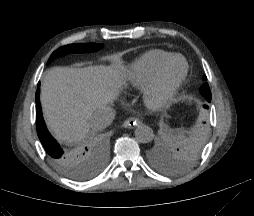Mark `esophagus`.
I'll return each instance as SVG.
<instances>
[{
  "instance_id": "1",
  "label": "esophagus",
  "mask_w": 254,
  "mask_h": 216,
  "mask_svg": "<svg viewBox=\"0 0 254 216\" xmlns=\"http://www.w3.org/2000/svg\"><path fill=\"white\" fill-rule=\"evenodd\" d=\"M139 124H140V120L139 119H136L134 117H130V118L126 119L123 122L122 127L123 128L132 129V128L138 126Z\"/></svg>"
}]
</instances>
